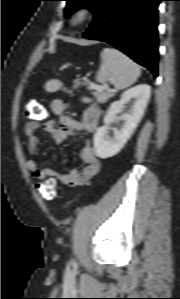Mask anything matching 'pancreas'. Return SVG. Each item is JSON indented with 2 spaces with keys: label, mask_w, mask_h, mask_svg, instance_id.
Returning a JSON list of instances; mask_svg holds the SVG:
<instances>
[{
  "label": "pancreas",
  "mask_w": 180,
  "mask_h": 299,
  "mask_svg": "<svg viewBox=\"0 0 180 299\" xmlns=\"http://www.w3.org/2000/svg\"><path fill=\"white\" fill-rule=\"evenodd\" d=\"M96 99L100 103L106 102L110 97L113 96V93L108 92V91H101V92H95L94 93Z\"/></svg>",
  "instance_id": "obj_1"
}]
</instances>
